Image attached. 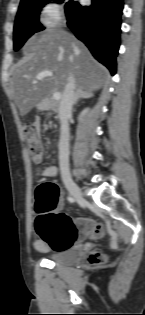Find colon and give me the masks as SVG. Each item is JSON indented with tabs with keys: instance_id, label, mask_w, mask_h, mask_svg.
I'll return each instance as SVG.
<instances>
[{
	"instance_id": "1",
	"label": "colon",
	"mask_w": 145,
	"mask_h": 315,
	"mask_svg": "<svg viewBox=\"0 0 145 315\" xmlns=\"http://www.w3.org/2000/svg\"><path fill=\"white\" fill-rule=\"evenodd\" d=\"M29 152L34 161L42 157V145L36 129L32 125L24 128ZM60 189L54 182L41 183L35 192V227L42 241L56 250L71 247L76 241L86 237H99L103 233L101 225L88 218L73 220L58 210ZM91 263H99L101 256H90Z\"/></svg>"
}]
</instances>
